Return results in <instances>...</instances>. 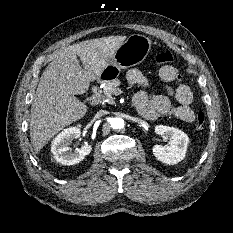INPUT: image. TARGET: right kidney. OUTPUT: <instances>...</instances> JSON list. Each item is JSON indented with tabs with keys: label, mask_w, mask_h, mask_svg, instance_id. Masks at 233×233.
I'll return each instance as SVG.
<instances>
[{
	"label": "right kidney",
	"mask_w": 233,
	"mask_h": 233,
	"mask_svg": "<svg viewBox=\"0 0 233 233\" xmlns=\"http://www.w3.org/2000/svg\"><path fill=\"white\" fill-rule=\"evenodd\" d=\"M80 133V128L75 126L64 129L55 137L51 144V152L57 162L63 165H74L90 154L92 146L88 143H85L80 149L77 148L73 153L69 151L70 142L77 139Z\"/></svg>",
	"instance_id": "obj_1"
}]
</instances>
